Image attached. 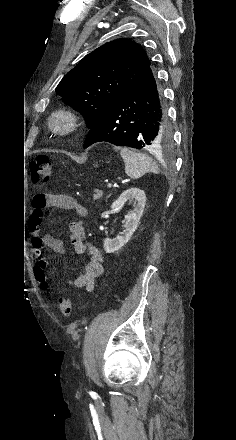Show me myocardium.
Returning <instances> with one entry per match:
<instances>
[{"label":"myocardium","mask_w":236,"mask_h":440,"mask_svg":"<svg viewBox=\"0 0 236 440\" xmlns=\"http://www.w3.org/2000/svg\"><path fill=\"white\" fill-rule=\"evenodd\" d=\"M47 125L54 136L66 137L77 133L80 119L74 110L59 108L50 114Z\"/></svg>","instance_id":"1"}]
</instances>
